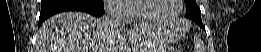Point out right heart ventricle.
Instances as JSON below:
<instances>
[{
  "instance_id": "e07e8e85",
  "label": "right heart ventricle",
  "mask_w": 261,
  "mask_h": 52,
  "mask_svg": "<svg viewBox=\"0 0 261 52\" xmlns=\"http://www.w3.org/2000/svg\"><path fill=\"white\" fill-rule=\"evenodd\" d=\"M126 8L128 9V7H126ZM136 20H137V22H139V21H140L138 18H136ZM137 22H135V23H137Z\"/></svg>"
}]
</instances>
